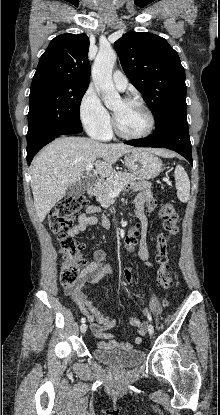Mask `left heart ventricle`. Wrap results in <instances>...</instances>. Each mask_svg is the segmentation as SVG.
<instances>
[{
    "mask_svg": "<svg viewBox=\"0 0 220 415\" xmlns=\"http://www.w3.org/2000/svg\"><path fill=\"white\" fill-rule=\"evenodd\" d=\"M112 111L120 129L127 134H142L149 127V117L140 106L119 101Z\"/></svg>",
    "mask_w": 220,
    "mask_h": 415,
    "instance_id": "1",
    "label": "left heart ventricle"
}]
</instances>
